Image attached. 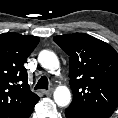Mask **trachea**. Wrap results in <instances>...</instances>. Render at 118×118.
Here are the masks:
<instances>
[{"label":"trachea","instance_id":"trachea-1","mask_svg":"<svg viewBox=\"0 0 118 118\" xmlns=\"http://www.w3.org/2000/svg\"><path fill=\"white\" fill-rule=\"evenodd\" d=\"M48 79L46 76H42L39 81L37 82L35 89H48Z\"/></svg>","mask_w":118,"mask_h":118}]
</instances>
